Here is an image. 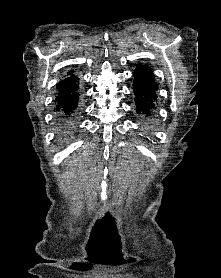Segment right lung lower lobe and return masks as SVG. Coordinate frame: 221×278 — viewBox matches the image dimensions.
<instances>
[{
	"label": "right lung lower lobe",
	"instance_id": "right-lung-lower-lobe-1",
	"mask_svg": "<svg viewBox=\"0 0 221 278\" xmlns=\"http://www.w3.org/2000/svg\"><path fill=\"white\" fill-rule=\"evenodd\" d=\"M79 84L72 74L57 84L56 111L60 124L68 130L79 114Z\"/></svg>",
	"mask_w": 221,
	"mask_h": 278
}]
</instances>
